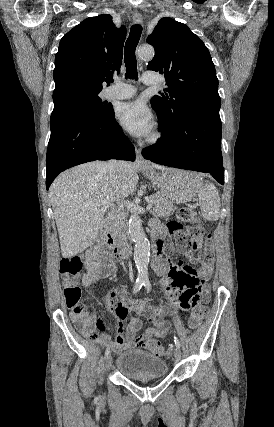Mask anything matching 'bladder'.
<instances>
[{
	"mask_svg": "<svg viewBox=\"0 0 274 427\" xmlns=\"http://www.w3.org/2000/svg\"><path fill=\"white\" fill-rule=\"evenodd\" d=\"M115 370L130 379L167 376L166 359L144 349H131L116 357Z\"/></svg>",
	"mask_w": 274,
	"mask_h": 427,
	"instance_id": "1",
	"label": "bladder"
}]
</instances>
